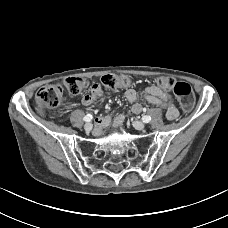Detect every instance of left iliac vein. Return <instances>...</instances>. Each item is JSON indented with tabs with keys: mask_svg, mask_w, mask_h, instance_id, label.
Instances as JSON below:
<instances>
[{
	"mask_svg": "<svg viewBox=\"0 0 228 228\" xmlns=\"http://www.w3.org/2000/svg\"><path fill=\"white\" fill-rule=\"evenodd\" d=\"M133 127L137 130H144L145 124L140 121H135V122H133Z\"/></svg>",
	"mask_w": 228,
	"mask_h": 228,
	"instance_id": "left-iliac-vein-1",
	"label": "left iliac vein"
}]
</instances>
